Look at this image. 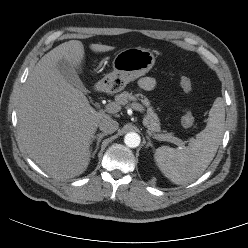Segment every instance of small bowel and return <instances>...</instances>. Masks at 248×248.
Listing matches in <instances>:
<instances>
[{
  "label": "small bowel",
  "instance_id": "obj_1",
  "mask_svg": "<svg viewBox=\"0 0 248 248\" xmlns=\"http://www.w3.org/2000/svg\"><path fill=\"white\" fill-rule=\"evenodd\" d=\"M156 86V81L154 78L152 77H142L139 81H138V87L141 90L144 91H150L153 90Z\"/></svg>",
  "mask_w": 248,
  "mask_h": 248
}]
</instances>
